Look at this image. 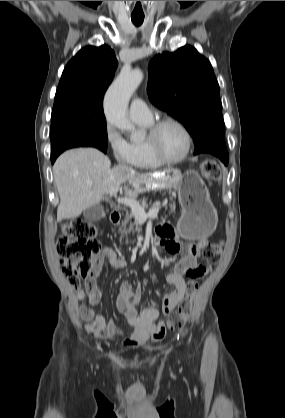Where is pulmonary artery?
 <instances>
[{
  "label": "pulmonary artery",
  "mask_w": 285,
  "mask_h": 418,
  "mask_svg": "<svg viewBox=\"0 0 285 418\" xmlns=\"http://www.w3.org/2000/svg\"><path fill=\"white\" fill-rule=\"evenodd\" d=\"M129 115L136 122H151L152 113L141 99H134L129 107Z\"/></svg>",
  "instance_id": "1"
}]
</instances>
